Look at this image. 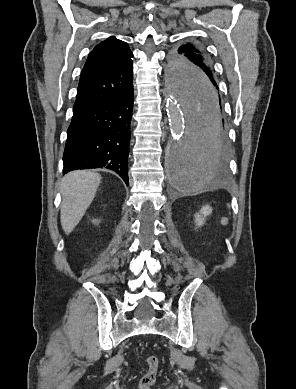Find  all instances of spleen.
Here are the masks:
<instances>
[{"label":"spleen","mask_w":296,"mask_h":389,"mask_svg":"<svg viewBox=\"0 0 296 389\" xmlns=\"http://www.w3.org/2000/svg\"><path fill=\"white\" fill-rule=\"evenodd\" d=\"M194 180H196L198 182L196 184H194V185H190L189 186L190 189L196 188L199 185V183L203 181V179H194Z\"/></svg>","instance_id":"3e777b00"}]
</instances>
